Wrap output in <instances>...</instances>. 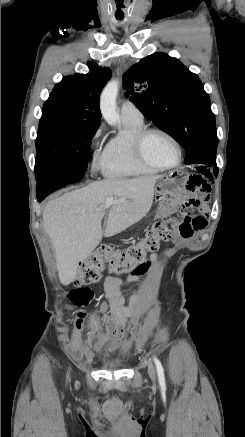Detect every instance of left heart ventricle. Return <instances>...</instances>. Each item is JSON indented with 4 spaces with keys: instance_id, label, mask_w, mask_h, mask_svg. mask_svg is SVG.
<instances>
[{
    "instance_id": "1",
    "label": "left heart ventricle",
    "mask_w": 245,
    "mask_h": 437,
    "mask_svg": "<svg viewBox=\"0 0 245 437\" xmlns=\"http://www.w3.org/2000/svg\"><path fill=\"white\" fill-rule=\"evenodd\" d=\"M143 149L147 158L160 165L170 166L175 164L178 159L174 144L158 133H152L146 137Z\"/></svg>"
}]
</instances>
